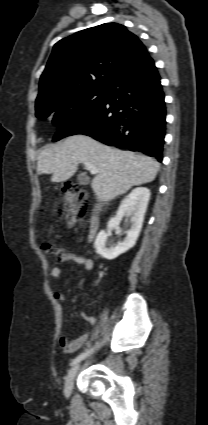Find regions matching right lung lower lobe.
Instances as JSON below:
<instances>
[{
	"label": "right lung lower lobe",
	"mask_w": 208,
	"mask_h": 425,
	"mask_svg": "<svg viewBox=\"0 0 208 425\" xmlns=\"http://www.w3.org/2000/svg\"><path fill=\"white\" fill-rule=\"evenodd\" d=\"M165 116L160 76L147 54L106 87L100 104L61 122L53 141L83 134L109 146L143 152L161 162Z\"/></svg>",
	"instance_id": "1"
}]
</instances>
